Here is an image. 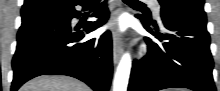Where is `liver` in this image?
<instances>
[{
  "label": "liver",
  "mask_w": 220,
  "mask_h": 91,
  "mask_svg": "<svg viewBox=\"0 0 220 91\" xmlns=\"http://www.w3.org/2000/svg\"><path fill=\"white\" fill-rule=\"evenodd\" d=\"M19 91H91V89L69 76L43 75L28 81Z\"/></svg>",
  "instance_id": "6515ba94"
}]
</instances>
